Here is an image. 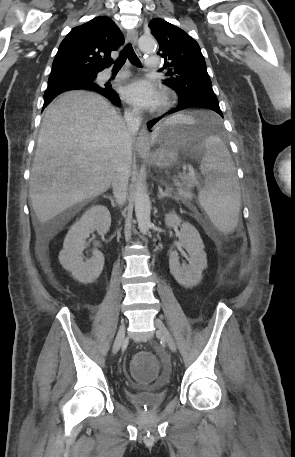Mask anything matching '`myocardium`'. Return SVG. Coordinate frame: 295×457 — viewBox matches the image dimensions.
<instances>
[{"mask_svg":"<svg viewBox=\"0 0 295 457\" xmlns=\"http://www.w3.org/2000/svg\"><path fill=\"white\" fill-rule=\"evenodd\" d=\"M172 100H173V97H172L171 93L166 92L165 95H164V101H163V104H162V108L169 107L171 105V103H172Z\"/></svg>","mask_w":295,"mask_h":457,"instance_id":"f54148a6","label":"myocardium"}]
</instances>
